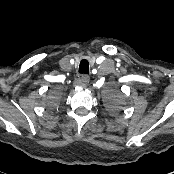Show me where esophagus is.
Listing matches in <instances>:
<instances>
[{"mask_svg": "<svg viewBox=\"0 0 174 174\" xmlns=\"http://www.w3.org/2000/svg\"><path fill=\"white\" fill-rule=\"evenodd\" d=\"M90 81V77L86 74L81 76V82L83 85H87Z\"/></svg>", "mask_w": 174, "mask_h": 174, "instance_id": "obj_1", "label": "esophagus"}]
</instances>
